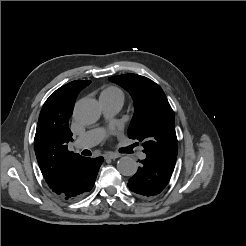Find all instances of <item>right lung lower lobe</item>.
Here are the masks:
<instances>
[{"label": "right lung lower lobe", "instance_id": "right-lung-lower-lobe-1", "mask_svg": "<svg viewBox=\"0 0 246 246\" xmlns=\"http://www.w3.org/2000/svg\"><path fill=\"white\" fill-rule=\"evenodd\" d=\"M103 160V157H83L63 177L61 183L52 189L53 192L66 200H76L84 196L93 188Z\"/></svg>", "mask_w": 246, "mask_h": 246}]
</instances>
